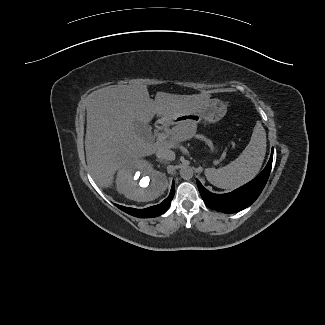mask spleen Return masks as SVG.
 I'll list each match as a JSON object with an SVG mask.
<instances>
[{"mask_svg": "<svg viewBox=\"0 0 325 325\" xmlns=\"http://www.w3.org/2000/svg\"><path fill=\"white\" fill-rule=\"evenodd\" d=\"M266 133L258 121L251 140L234 161L223 168L205 169L207 180L222 189H234L253 179L259 172L266 153Z\"/></svg>", "mask_w": 325, "mask_h": 325, "instance_id": "obj_1", "label": "spleen"}]
</instances>
